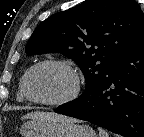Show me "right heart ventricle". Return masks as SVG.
I'll return each mask as SVG.
<instances>
[{"mask_svg": "<svg viewBox=\"0 0 144 137\" xmlns=\"http://www.w3.org/2000/svg\"><path fill=\"white\" fill-rule=\"evenodd\" d=\"M22 80H23V78H22ZM22 80L20 81L19 90H18V99L19 100H25V97L22 93Z\"/></svg>", "mask_w": 144, "mask_h": 137, "instance_id": "obj_1", "label": "right heart ventricle"}]
</instances>
